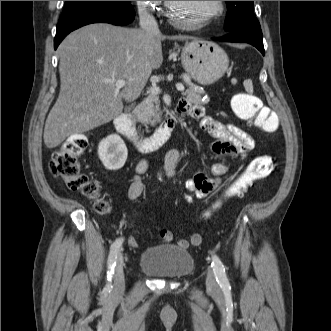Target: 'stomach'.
<instances>
[{
    "mask_svg": "<svg viewBox=\"0 0 331 331\" xmlns=\"http://www.w3.org/2000/svg\"><path fill=\"white\" fill-rule=\"evenodd\" d=\"M181 62L186 72L202 85L216 82L229 65L225 51L216 43L203 39L186 42L182 48Z\"/></svg>",
    "mask_w": 331,
    "mask_h": 331,
    "instance_id": "0dacf381",
    "label": "stomach"
}]
</instances>
